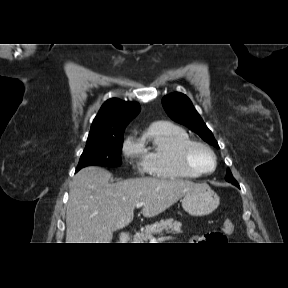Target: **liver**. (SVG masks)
<instances>
[{
    "instance_id": "liver-1",
    "label": "liver",
    "mask_w": 288,
    "mask_h": 288,
    "mask_svg": "<svg viewBox=\"0 0 288 288\" xmlns=\"http://www.w3.org/2000/svg\"><path fill=\"white\" fill-rule=\"evenodd\" d=\"M109 171L81 169L70 183L66 210V243H111L113 232L133 221L136 204L150 218L197 187L191 181L136 178L110 183Z\"/></svg>"
}]
</instances>
